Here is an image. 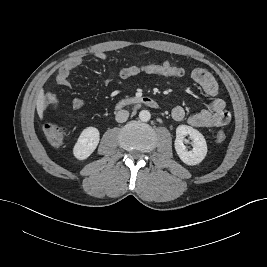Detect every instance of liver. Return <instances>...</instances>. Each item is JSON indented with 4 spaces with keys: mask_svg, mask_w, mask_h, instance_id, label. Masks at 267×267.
I'll return each mask as SVG.
<instances>
[{
    "mask_svg": "<svg viewBox=\"0 0 267 267\" xmlns=\"http://www.w3.org/2000/svg\"><path fill=\"white\" fill-rule=\"evenodd\" d=\"M36 106H37V113H38L40 119L42 120L43 119V112H44V108H45V95H44L43 90H41L39 95H38Z\"/></svg>",
    "mask_w": 267,
    "mask_h": 267,
    "instance_id": "1",
    "label": "liver"
}]
</instances>
